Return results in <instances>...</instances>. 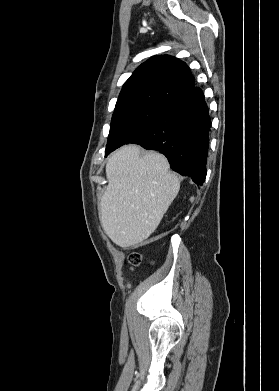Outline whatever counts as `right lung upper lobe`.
Wrapping results in <instances>:
<instances>
[{
    "label": "right lung upper lobe",
    "mask_w": 279,
    "mask_h": 391,
    "mask_svg": "<svg viewBox=\"0 0 279 391\" xmlns=\"http://www.w3.org/2000/svg\"><path fill=\"white\" fill-rule=\"evenodd\" d=\"M195 87L186 63L169 55L141 64L123 85L115 111L141 105L163 107Z\"/></svg>",
    "instance_id": "cb5924a9"
}]
</instances>
